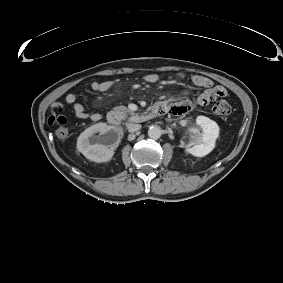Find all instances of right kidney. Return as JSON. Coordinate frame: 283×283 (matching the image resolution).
I'll return each mask as SVG.
<instances>
[{
	"mask_svg": "<svg viewBox=\"0 0 283 283\" xmlns=\"http://www.w3.org/2000/svg\"><path fill=\"white\" fill-rule=\"evenodd\" d=\"M120 141L121 132L115 127L97 123L80 134L77 140V150L91 161L106 162L111 160Z\"/></svg>",
	"mask_w": 283,
	"mask_h": 283,
	"instance_id": "ca27d5eb",
	"label": "right kidney"
}]
</instances>
